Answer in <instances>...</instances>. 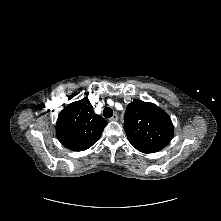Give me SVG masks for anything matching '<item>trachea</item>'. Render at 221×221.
Instances as JSON below:
<instances>
[{
    "label": "trachea",
    "instance_id": "obj_1",
    "mask_svg": "<svg viewBox=\"0 0 221 221\" xmlns=\"http://www.w3.org/2000/svg\"><path fill=\"white\" fill-rule=\"evenodd\" d=\"M103 115L105 118H110L113 116V111L111 108L109 107H105L104 110H103Z\"/></svg>",
    "mask_w": 221,
    "mask_h": 221
}]
</instances>
